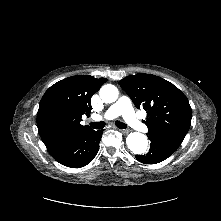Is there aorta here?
Masks as SVG:
<instances>
[{"label":"aorta","instance_id":"aorta-1","mask_svg":"<svg viewBox=\"0 0 221 221\" xmlns=\"http://www.w3.org/2000/svg\"><path fill=\"white\" fill-rule=\"evenodd\" d=\"M100 97L105 103L115 102L118 98L117 87L111 84L102 86L100 89ZM126 144L134 154H144L147 150L148 140L144 134L133 132L127 136Z\"/></svg>","mask_w":221,"mask_h":221}]
</instances>
